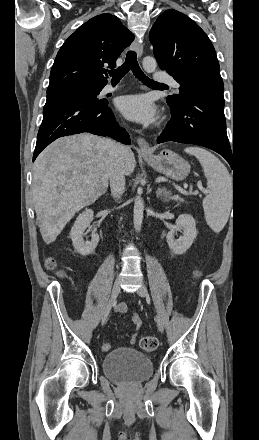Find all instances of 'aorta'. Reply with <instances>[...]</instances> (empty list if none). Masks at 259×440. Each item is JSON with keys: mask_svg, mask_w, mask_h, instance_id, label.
<instances>
[{"mask_svg": "<svg viewBox=\"0 0 259 440\" xmlns=\"http://www.w3.org/2000/svg\"><path fill=\"white\" fill-rule=\"evenodd\" d=\"M142 65L144 70L147 73H152L155 71L157 67L156 60L153 57H145L142 61ZM143 211H144V202L140 195L135 197L134 201V228L136 232L141 230L142 221H143Z\"/></svg>", "mask_w": 259, "mask_h": 440, "instance_id": "1", "label": "aorta"}]
</instances>
